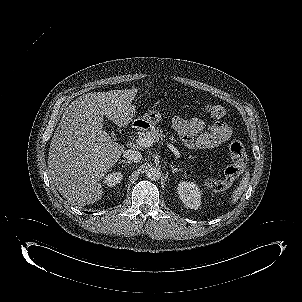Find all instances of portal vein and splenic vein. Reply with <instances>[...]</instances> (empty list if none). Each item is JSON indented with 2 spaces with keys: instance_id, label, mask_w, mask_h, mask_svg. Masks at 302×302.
<instances>
[{
  "instance_id": "18ae733b",
  "label": "portal vein and splenic vein",
  "mask_w": 302,
  "mask_h": 302,
  "mask_svg": "<svg viewBox=\"0 0 302 302\" xmlns=\"http://www.w3.org/2000/svg\"><path fill=\"white\" fill-rule=\"evenodd\" d=\"M154 142L155 140L150 137H140L137 139V144L141 147H150Z\"/></svg>"
}]
</instances>
